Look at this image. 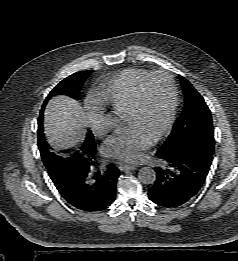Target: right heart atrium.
<instances>
[{
	"mask_svg": "<svg viewBox=\"0 0 238 261\" xmlns=\"http://www.w3.org/2000/svg\"><path fill=\"white\" fill-rule=\"evenodd\" d=\"M87 116L93 134L97 137H103L108 132L103 112L95 108H89Z\"/></svg>",
	"mask_w": 238,
	"mask_h": 261,
	"instance_id": "d8ad5b80",
	"label": "right heart atrium"
}]
</instances>
